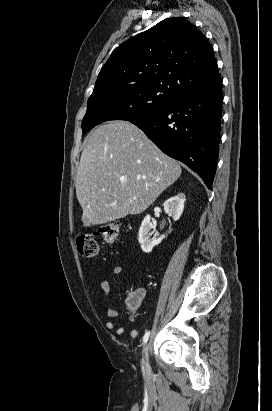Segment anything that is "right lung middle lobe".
I'll use <instances>...</instances> for the list:
<instances>
[{
    "instance_id": "obj_1",
    "label": "right lung middle lobe",
    "mask_w": 272,
    "mask_h": 411,
    "mask_svg": "<svg viewBox=\"0 0 272 411\" xmlns=\"http://www.w3.org/2000/svg\"><path fill=\"white\" fill-rule=\"evenodd\" d=\"M175 97L156 87H126L93 92L82 121L83 134L104 121L143 119L166 108Z\"/></svg>"
}]
</instances>
